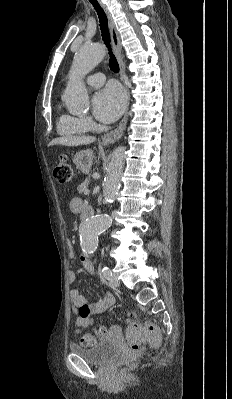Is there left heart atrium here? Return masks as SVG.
Wrapping results in <instances>:
<instances>
[{
  "mask_svg": "<svg viewBox=\"0 0 232 399\" xmlns=\"http://www.w3.org/2000/svg\"><path fill=\"white\" fill-rule=\"evenodd\" d=\"M125 98L116 87L109 86L97 93L93 99L94 116L101 122H115L123 113Z\"/></svg>",
  "mask_w": 232,
  "mask_h": 399,
  "instance_id": "left-heart-atrium-1",
  "label": "left heart atrium"
}]
</instances>
